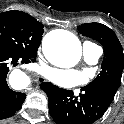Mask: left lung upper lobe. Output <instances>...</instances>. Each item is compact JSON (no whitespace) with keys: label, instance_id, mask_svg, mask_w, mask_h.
I'll list each match as a JSON object with an SVG mask.
<instances>
[{"label":"left lung upper lobe","instance_id":"left-lung-upper-lobe-1","mask_svg":"<svg viewBox=\"0 0 124 124\" xmlns=\"http://www.w3.org/2000/svg\"><path fill=\"white\" fill-rule=\"evenodd\" d=\"M78 30L84 36L97 40L104 48L102 70L85 87L100 90L113 99L120 86L124 67V54L121 43L109 27L100 23L82 24L78 26Z\"/></svg>","mask_w":124,"mask_h":124}]
</instances>
